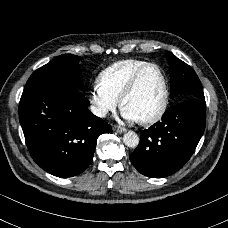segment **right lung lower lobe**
<instances>
[{
	"mask_svg": "<svg viewBox=\"0 0 228 228\" xmlns=\"http://www.w3.org/2000/svg\"><path fill=\"white\" fill-rule=\"evenodd\" d=\"M80 90L60 80L26 84L19 120L34 161L57 177H72L90 164L97 138L111 126L88 109Z\"/></svg>",
	"mask_w": 228,
	"mask_h": 228,
	"instance_id": "obj_1",
	"label": "right lung lower lobe"
}]
</instances>
